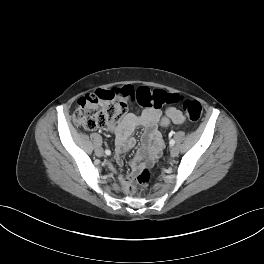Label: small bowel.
<instances>
[{"mask_svg":"<svg viewBox=\"0 0 264 264\" xmlns=\"http://www.w3.org/2000/svg\"><path fill=\"white\" fill-rule=\"evenodd\" d=\"M185 121L182 112L174 107L169 108L165 115L156 109H145L139 114L129 113L125 116L120 125L111 127L115 134L116 144V162L118 165L123 164L121 154L130 150L136 144L131 134L138 126L145 127V133L141 138V148L135 158L131 161L132 173H137L145 167L152 166L160 156L164 142L160 133L157 131L158 126L166 127L173 124H181ZM125 190L130 185V177L124 176L121 179Z\"/></svg>","mask_w":264,"mask_h":264,"instance_id":"1","label":"small bowel"}]
</instances>
